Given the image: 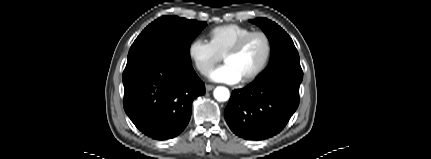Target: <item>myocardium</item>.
<instances>
[{
  "instance_id": "obj_1",
  "label": "myocardium",
  "mask_w": 431,
  "mask_h": 159,
  "mask_svg": "<svg viewBox=\"0 0 431 159\" xmlns=\"http://www.w3.org/2000/svg\"><path fill=\"white\" fill-rule=\"evenodd\" d=\"M254 37H262L266 44V53L263 62L261 65L249 76L243 78L241 81L242 83H250L258 79L268 68L271 58H272V52H273V45L272 41L269 37V35L263 31H253L244 37H242L237 43H235L230 49H228L224 55L223 59H225L229 56L237 55L239 54L246 45L250 42L251 39Z\"/></svg>"
}]
</instances>
